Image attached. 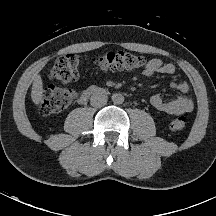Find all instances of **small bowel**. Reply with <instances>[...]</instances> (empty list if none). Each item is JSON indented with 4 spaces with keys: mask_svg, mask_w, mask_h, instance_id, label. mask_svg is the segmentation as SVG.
<instances>
[{
    "mask_svg": "<svg viewBox=\"0 0 216 216\" xmlns=\"http://www.w3.org/2000/svg\"><path fill=\"white\" fill-rule=\"evenodd\" d=\"M176 68L172 63H167L158 58L149 60L143 69L145 76L153 75H174ZM170 87L176 89L180 95L172 100H164L161 95H154L150 99L151 106L159 111L169 115H179L189 113L194 108L192 98L189 96V84L185 80L170 81Z\"/></svg>",
    "mask_w": 216,
    "mask_h": 216,
    "instance_id": "obj_1",
    "label": "small bowel"
}]
</instances>
